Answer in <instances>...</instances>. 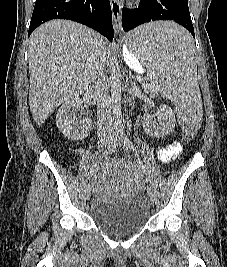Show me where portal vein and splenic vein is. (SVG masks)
<instances>
[{
    "mask_svg": "<svg viewBox=\"0 0 227 267\" xmlns=\"http://www.w3.org/2000/svg\"><path fill=\"white\" fill-rule=\"evenodd\" d=\"M137 80L139 81V80H141V79L138 77Z\"/></svg>",
    "mask_w": 227,
    "mask_h": 267,
    "instance_id": "1",
    "label": "portal vein and splenic vein"
}]
</instances>
